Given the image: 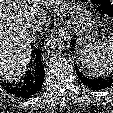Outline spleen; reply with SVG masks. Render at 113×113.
<instances>
[{
	"instance_id": "obj_1",
	"label": "spleen",
	"mask_w": 113,
	"mask_h": 113,
	"mask_svg": "<svg viewBox=\"0 0 113 113\" xmlns=\"http://www.w3.org/2000/svg\"><path fill=\"white\" fill-rule=\"evenodd\" d=\"M82 64L89 76H107L113 71V36L84 47Z\"/></svg>"
}]
</instances>
